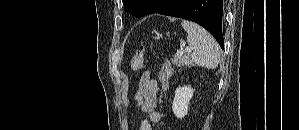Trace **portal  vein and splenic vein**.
Masks as SVG:
<instances>
[{
    "instance_id": "1",
    "label": "portal vein and splenic vein",
    "mask_w": 299,
    "mask_h": 130,
    "mask_svg": "<svg viewBox=\"0 0 299 130\" xmlns=\"http://www.w3.org/2000/svg\"><path fill=\"white\" fill-rule=\"evenodd\" d=\"M192 51V48L190 47H186L184 49H181V50H178L176 52V56H181L182 54L186 53V52H191Z\"/></svg>"
}]
</instances>
